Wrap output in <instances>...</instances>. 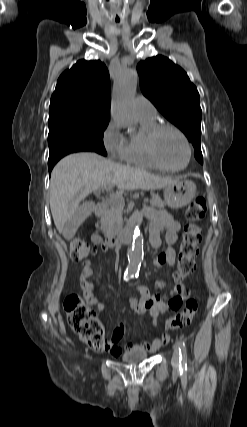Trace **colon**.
I'll return each instance as SVG.
<instances>
[{"mask_svg":"<svg viewBox=\"0 0 247 427\" xmlns=\"http://www.w3.org/2000/svg\"><path fill=\"white\" fill-rule=\"evenodd\" d=\"M206 214L207 205L202 197L193 200L187 208V223L179 248L178 268L173 275L176 284L182 283L195 270L194 258L198 253L201 235L198 222L203 220ZM94 251L95 249L81 237L76 236L70 240V256L74 261H83ZM63 306L69 325L80 339L95 351L106 350L108 340L105 338L104 328L96 319L85 299L77 294H69L64 298ZM198 308L199 302L196 297L188 299L184 309L171 317L166 322V326L170 330H177L189 325L197 314Z\"/></svg>","mask_w":247,"mask_h":427,"instance_id":"1","label":"colon"}]
</instances>
